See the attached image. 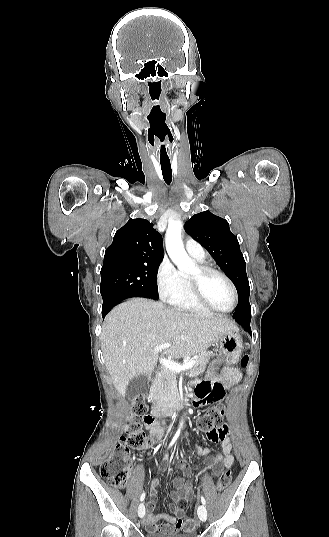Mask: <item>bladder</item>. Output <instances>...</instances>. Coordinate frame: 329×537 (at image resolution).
Instances as JSON below:
<instances>
[{"label": "bladder", "instance_id": "31cf9c89", "mask_svg": "<svg viewBox=\"0 0 329 537\" xmlns=\"http://www.w3.org/2000/svg\"><path fill=\"white\" fill-rule=\"evenodd\" d=\"M145 537H196V534L193 532L188 533H158V532H149Z\"/></svg>", "mask_w": 329, "mask_h": 537}]
</instances>
